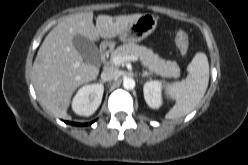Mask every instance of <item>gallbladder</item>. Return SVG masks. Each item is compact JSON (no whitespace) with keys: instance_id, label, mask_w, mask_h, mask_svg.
<instances>
[{"instance_id":"1","label":"gallbladder","mask_w":248,"mask_h":165,"mask_svg":"<svg viewBox=\"0 0 248 165\" xmlns=\"http://www.w3.org/2000/svg\"><path fill=\"white\" fill-rule=\"evenodd\" d=\"M73 44L86 63L92 65H98L100 63L98 47L90 39L81 35H76L73 38Z\"/></svg>"}]
</instances>
